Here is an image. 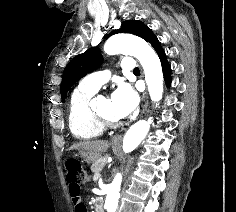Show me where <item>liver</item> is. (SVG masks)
I'll list each match as a JSON object with an SVG mask.
<instances>
[{"label": "liver", "mask_w": 236, "mask_h": 212, "mask_svg": "<svg viewBox=\"0 0 236 212\" xmlns=\"http://www.w3.org/2000/svg\"><path fill=\"white\" fill-rule=\"evenodd\" d=\"M109 148V142L105 140L81 141L72 145L69 150H85L96 156L106 152Z\"/></svg>", "instance_id": "liver-1"}]
</instances>
